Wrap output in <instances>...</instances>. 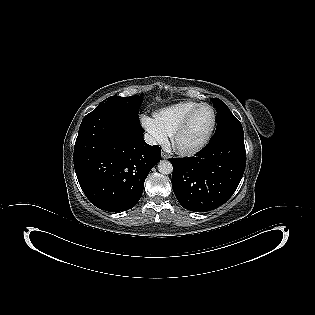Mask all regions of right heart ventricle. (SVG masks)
<instances>
[{"mask_svg":"<svg viewBox=\"0 0 315 315\" xmlns=\"http://www.w3.org/2000/svg\"><path fill=\"white\" fill-rule=\"evenodd\" d=\"M198 104L192 100L181 101L157 111L154 118L168 135H172L185 116Z\"/></svg>","mask_w":315,"mask_h":315,"instance_id":"right-heart-ventricle-1","label":"right heart ventricle"}]
</instances>
